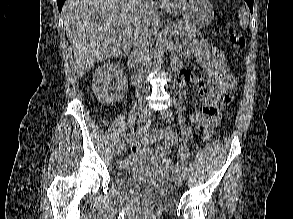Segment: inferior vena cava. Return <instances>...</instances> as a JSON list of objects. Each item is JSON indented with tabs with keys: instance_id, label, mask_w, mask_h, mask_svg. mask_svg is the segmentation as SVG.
<instances>
[{
	"instance_id": "1",
	"label": "inferior vena cava",
	"mask_w": 293,
	"mask_h": 219,
	"mask_svg": "<svg viewBox=\"0 0 293 219\" xmlns=\"http://www.w3.org/2000/svg\"><path fill=\"white\" fill-rule=\"evenodd\" d=\"M139 8L148 5V0H136ZM141 17V14H139ZM133 59L136 67V77H141L150 71L151 62L149 56L148 29L142 19H137L133 41Z\"/></svg>"
}]
</instances>
